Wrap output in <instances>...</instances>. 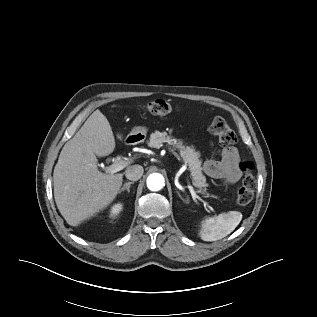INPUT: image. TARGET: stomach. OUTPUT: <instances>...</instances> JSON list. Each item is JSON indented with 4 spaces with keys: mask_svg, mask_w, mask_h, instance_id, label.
Wrapping results in <instances>:
<instances>
[{
    "mask_svg": "<svg viewBox=\"0 0 317 317\" xmlns=\"http://www.w3.org/2000/svg\"><path fill=\"white\" fill-rule=\"evenodd\" d=\"M147 131H148L147 127L137 126L131 131V133L128 135V137L129 136L135 137L136 142H142L146 138Z\"/></svg>",
    "mask_w": 317,
    "mask_h": 317,
    "instance_id": "1",
    "label": "stomach"
}]
</instances>
